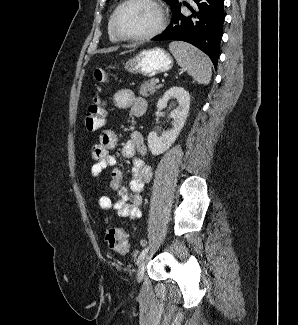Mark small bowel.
I'll list each match as a JSON object with an SVG mask.
<instances>
[{
    "instance_id": "1",
    "label": "small bowel",
    "mask_w": 298,
    "mask_h": 325,
    "mask_svg": "<svg viewBox=\"0 0 298 325\" xmlns=\"http://www.w3.org/2000/svg\"><path fill=\"white\" fill-rule=\"evenodd\" d=\"M114 103L118 108H131L133 115H138L137 111L140 107H146L145 101L136 98L129 89L117 91L114 95ZM117 142L116 132L107 129L100 134L99 143L92 148V158L95 161L91 167L92 176L98 178L105 169L110 168V186L117 192L114 200L102 195L99 198V206L103 210L114 209L119 217L137 219L141 216V193L151 179V167L145 160L146 148L141 133L132 132L121 151L123 157L132 159V178L129 186L125 187L122 170L116 158L110 153ZM97 187H100V182H97Z\"/></svg>"
}]
</instances>
